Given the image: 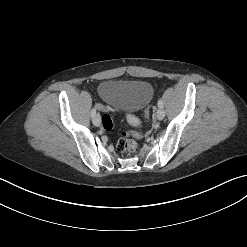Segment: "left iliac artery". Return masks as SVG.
<instances>
[{"mask_svg": "<svg viewBox=\"0 0 247 247\" xmlns=\"http://www.w3.org/2000/svg\"><path fill=\"white\" fill-rule=\"evenodd\" d=\"M158 107L163 109L164 106H163V101H162V99H159V100H158Z\"/></svg>", "mask_w": 247, "mask_h": 247, "instance_id": "obj_1", "label": "left iliac artery"}]
</instances>
